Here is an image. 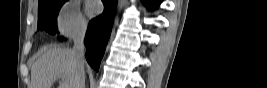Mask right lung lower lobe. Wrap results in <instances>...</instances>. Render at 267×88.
Masks as SVG:
<instances>
[{"instance_id": "obj_1", "label": "right lung lower lobe", "mask_w": 267, "mask_h": 88, "mask_svg": "<svg viewBox=\"0 0 267 88\" xmlns=\"http://www.w3.org/2000/svg\"><path fill=\"white\" fill-rule=\"evenodd\" d=\"M103 3L105 6L103 14L90 22L85 38L87 46L85 56L90 66L96 71L99 70L111 34L117 0H103Z\"/></svg>"}]
</instances>
